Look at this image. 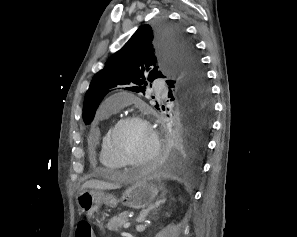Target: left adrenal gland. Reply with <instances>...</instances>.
I'll return each mask as SVG.
<instances>
[{"instance_id":"1","label":"left adrenal gland","mask_w":297,"mask_h":237,"mask_svg":"<svg viewBox=\"0 0 297 237\" xmlns=\"http://www.w3.org/2000/svg\"><path fill=\"white\" fill-rule=\"evenodd\" d=\"M166 193H167V191H163L162 192V195H161V197L163 198L162 200L156 201L155 204L151 205L146 210H142L141 211L140 216L137 219V222L138 223L144 222L150 211L158 208L160 205H162V204L165 203V201H166V198H165Z\"/></svg>"}]
</instances>
